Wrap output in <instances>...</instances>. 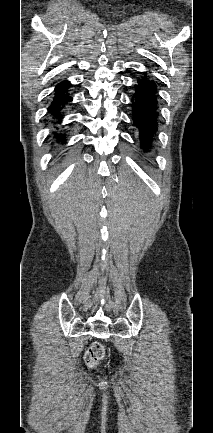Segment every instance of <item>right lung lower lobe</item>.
<instances>
[{
	"label": "right lung lower lobe",
	"instance_id": "right-lung-lower-lobe-1",
	"mask_svg": "<svg viewBox=\"0 0 213 433\" xmlns=\"http://www.w3.org/2000/svg\"><path fill=\"white\" fill-rule=\"evenodd\" d=\"M71 84L68 81H63L59 83L55 87V96L53 98V101L51 102V106L49 107V112L51 113V116L53 118H56L58 122L61 121L60 119V111L65 107L68 101L72 100V97L69 96L68 93H66L68 87ZM54 137L56 138L57 142H60L62 144L66 143L65 135L62 133H54Z\"/></svg>",
	"mask_w": 213,
	"mask_h": 433
}]
</instances>
